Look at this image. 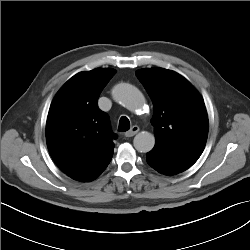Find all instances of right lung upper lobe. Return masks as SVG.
I'll return each instance as SVG.
<instances>
[{
	"mask_svg": "<svg viewBox=\"0 0 250 250\" xmlns=\"http://www.w3.org/2000/svg\"><path fill=\"white\" fill-rule=\"evenodd\" d=\"M116 73L110 68L83 71L70 78L54 97L47 117L46 141L56 165L76 179L113 154L116 135L97 105Z\"/></svg>",
	"mask_w": 250,
	"mask_h": 250,
	"instance_id": "right-lung-upper-lobe-1",
	"label": "right lung upper lobe"
}]
</instances>
